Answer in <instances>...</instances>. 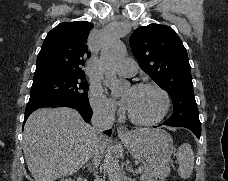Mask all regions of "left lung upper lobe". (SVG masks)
I'll return each mask as SVG.
<instances>
[{"instance_id":"obj_1","label":"left lung upper lobe","mask_w":228,"mask_h":181,"mask_svg":"<svg viewBox=\"0 0 228 181\" xmlns=\"http://www.w3.org/2000/svg\"><path fill=\"white\" fill-rule=\"evenodd\" d=\"M130 45L141 69L173 101V114L165 123L201 128L187 51L175 31L160 24L140 27L131 35Z\"/></svg>"}]
</instances>
